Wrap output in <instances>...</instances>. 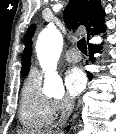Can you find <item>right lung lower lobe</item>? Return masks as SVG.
<instances>
[{
  "label": "right lung lower lobe",
  "mask_w": 116,
  "mask_h": 134,
  "mask_svg": "<svg viewBox=\"0 0 116 134\" xmlns=\"http://www.w3.org/2000/svg\"><path fill=\"white\" fill-rule=\"evenodd\" d=\"M100 48H101V47H99V46H95V45H93V44H89V53H90L89 59H90L92 62L95 60L94 54H95L96 52H98ZM87 75H88L89 79H92V74H90V73L88 72ZM67 129H69V128H67Z\"/></svg>",
  "instance_id": "98d812e1"
}]
</instances>
